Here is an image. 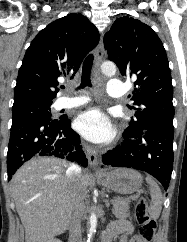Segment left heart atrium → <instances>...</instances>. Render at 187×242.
<instances>
[{
	"label": "left heart atrium",
	"instance_id": "39dd6f15",
	"mask_svg": "<svg viewBox=\"0 0 187 242\" xmlns=\"http://www.w3.org/2000/svg\"><path fill=\"white\" fill-rule=\"evenodd\" d=\"M75 127L85 138L97 143L107 142L114 135V128L110 120L98 108H92L79 114L75 120Z\"/></svg>",
	"mask_w": 187,
	"mask_h": 242
}]
</instances>
